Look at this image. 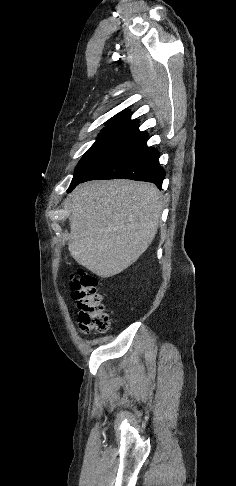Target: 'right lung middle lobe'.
I'll return each mask as SVG.
<instances>
[{"label":"right lung middle lobe","mask_w":236,"mask_h":486,"mask_svg":"<svg viewBox=\"0 0 236 486\" xmlns=\"http://www.w3.org/2000/svg\"><path fill=\"white\" fill-rule=\"evenodd\" d=\"M138 132V126L104 128L96 142L80 160L68 192L73 190L93 169L133 139Z\"/></svg>","instance_id":"right-lung-middle-lobe-1"}]
</instances>
